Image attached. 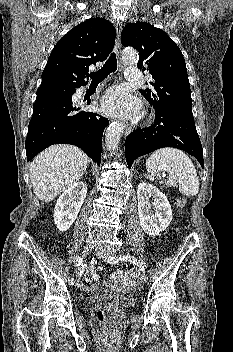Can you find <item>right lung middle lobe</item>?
I'll use <instances>...</instances> for the list:
<instances>
[{
	"mask_svg": "<svg viewBox=\"0 0 233 352\" xmlns=\"http://www.w3.org/2000/svg\"><path fill=\"white\" fill-rule=\"evenodd\" d=\"M76 88L69 86H47L37 90V101H50L69 99L75 93Z\"/></svg>",
	"mask_w": 233,
	"mask_h": 352,
	"instance_id": "right-lung-middle-lobe-1",
	"label": "right lung middle lobe"
}]
</instances>
